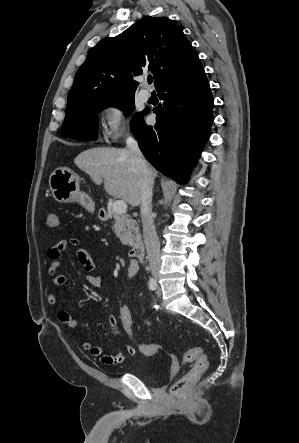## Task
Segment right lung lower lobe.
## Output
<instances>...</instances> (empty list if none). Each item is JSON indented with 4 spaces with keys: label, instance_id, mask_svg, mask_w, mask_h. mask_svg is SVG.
Wrapping results in <instances>:
<instances>
[{
    "label": "right lung lower lobe",
    "instance_id": "obj_1",
    "mask_svg": "<svg viewBox=\"0 0 299 443\" xmlns=\"http://www.w3.org/2000/svg\"><path fill=\"white\" fill-rule=\"evenodd\" d=\"M157 92L164 102L153 109L156 124L146 125L142 114H137L131 121V132L148 161L164 175L185 183L213 122L209 82L201 67L161 84Z\"/></svg>",
    "mask_w": 299,
    "mask_h": 443
}]
</instances>
